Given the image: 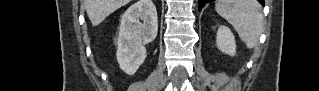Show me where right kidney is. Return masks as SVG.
I'll list each match as a JSON object with an SVG mask.
<instances>
[{
  "label": "right kidney",
  "mask_w": 319,
  "mask_h": 91,
  "mask_svg": "<svg viewBox=\"0 0 319 91\" xmlns=\"http://www.w3.org/2000/svg\"><path fill=\"white\" fill-rule=\"evenodd\" d=\"M158 31L156 8L151 0H138L121 17L117 39V61L128 75H133L144 62L145 44L152 42Z\"/></svg>",
  "instance_id": "right-kidney-1"
}]
</instances>
